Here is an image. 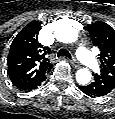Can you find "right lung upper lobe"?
I'll list each match as a JSON object with an SVG mask.
<instances>
[{
    "mask_svg": "<svg viewBox=\"0 0 115 119\" xmlns=\"http://www.w3.org/2000/svg\"><path fill=\"white\" fill-rule=\"evenodd\" d=\"M41 22L27 24L13 40L7 58L8 74L13 84L26 88L46 77L52 64L48 59L50 48L38 42Z\"/></svg>",
    "mask_w": 115,
    "mask_h": 119,
    "instance_id": "obj_1",
    "label": "right lung upper lobe"
}]
</instances>
